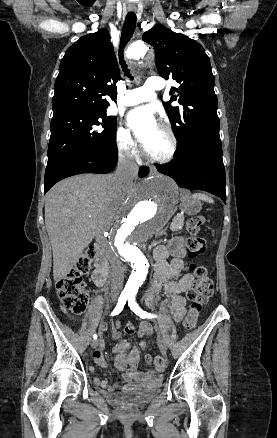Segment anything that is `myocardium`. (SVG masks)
<instances>
[{"instance_id": "f54148a6", "label": "myocardium", "mask_w": 277, "mask_h": 438, "mask_svg": "<svg viewBox=\"0 0 277 438\" xmlns=\"http://www.w3.org/2000/svg\"><path fill=\"white\" fill-rule=\"evenodd\" d=\"M130 65H131V63H130ZM157 127L159 129H161L162 131H164L170 139L171 148H170L169 154L164 158L153 157V156H150L146 153L143 146H141V152L148 159V161H150L151 163L166 164V163L171 162L174 159V157L176 156V153L178 150V139H177L173 129L170 126H168L166 124H158Z\"/></svg>"}]
</instances>
